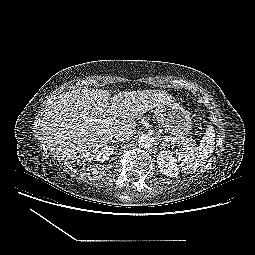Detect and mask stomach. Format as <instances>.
Listing matches in <instances>:
<instances>
[{"label":"stomach","mask_w":255,"mask_h":255,"mask_svg":"<svg viewBox=\"0 0 255 255\" xmlns=\"http://www.w3.org/2000/svg\"><path fill=\"white\" fill-rule=\"evenodd\" d=\"M154 113L165 130L178 138L187 136L192 129L190 112L172 98L155 107Z\"/></svg>","instance_id":"1"}]
</instances>
